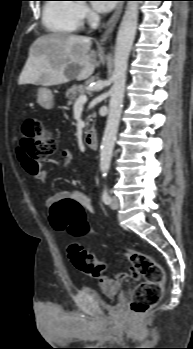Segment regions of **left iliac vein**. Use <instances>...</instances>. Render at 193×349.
<instances>
[{
    "instance_id": "left-iliac-vein-1",
    "label": "left iliac vein",
    "mask_w": 193,
    "mask_h": 349,
    "mask_svg": "<svg viewBox=\"0 0 193 349\" xmlns=\"http://www.w3.org/2000/svg\"><path fill=\"white\" fill-rule=\"evenodd\" d=\"M119 206V200L116 196H112L111 198V202H110V207L112 209H117Z\"/></svg>"
}]
</instances>
